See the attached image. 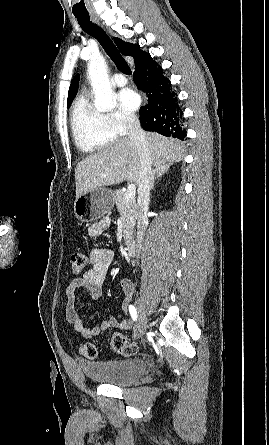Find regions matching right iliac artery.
<instances>
[{
    "instance_id": "right-iliac-artery-1",
    "label": "right iliac artery",
    "mask_w": 269,
    "mask_h": 445,
    "mask_svg": "<svg viewBox=\"0 0 269 445\" xmlns=\"http://www.w3.org/2000/svg\"><path fill=\"white\" fill-rule=\"evenodd\" d=\"M129 313H130L133 321H136V319H137V312H136V309H135V307L133 305L129 306Z\"/></svg>"
}]
</instances>
